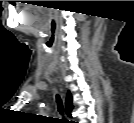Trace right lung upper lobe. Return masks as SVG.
I'll return each mask as SVG.
<instances>
[{
    "instance_id": "right-lung-upper-lobe-1",
    "label": "right lung upper lobe",
    "mask_w": 134,
    "mask_h": 123,
    "mask_svg": "<svg viewBox=\"0 0 134 123\" xmlns=\"http://www.w3.org/2000/svg\"><path fill=\"white\" fill-rule=\"evenodd\" d=\"M73 109L72 105V95L68 92L67 99H66V113L69 117H71V111Z\"/></svg>"
}]
</instances>
